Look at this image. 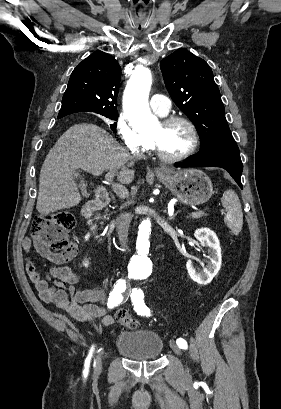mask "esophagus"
<instances>
[{
    "label": "esophagus",
    "mask_w": 281,
    "mask_h": 409,
    "mask_svg": "<svg viewBox=\"0 0 281 409\" xmlns=\"http://www.w3.org/2000/svg\"><path fill=\"white\" fill-rule=\"evenodd\" d=\"M155 171H156V172H160V171H161V169H159V168H156V169H155Z\"/></svg>",
    "instance_id": "1"
}]
</instances>
